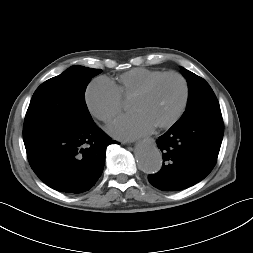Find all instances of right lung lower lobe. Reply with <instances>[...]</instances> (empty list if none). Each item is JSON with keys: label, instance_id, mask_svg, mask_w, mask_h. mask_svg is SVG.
<instances>
[{"label": "right lung lower lobe", "instance_id": "right-lung-lower-lobe-1", "mask_svg": "<svg viewBox=\"0 0 253 253\" xmlns=\"http://www.w3.org/2000/svg\"><path fill=\"white\" fill-rule=\"evenodd\" d=\"M116 143L95 123L47 132L25 145L35 174L65 193L88 191L101 176L108 145Z\"/></svg>", "mask_w": 253, "mask_h": 253}]
</instances>
